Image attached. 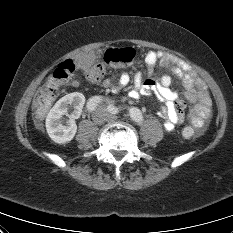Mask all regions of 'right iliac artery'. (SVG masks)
Wrapping results in <instances>:
<instances>
[{"label":"right iliac artery","mask_w":233,"mask_h":233,"mask_svg":"<svg viewBox=\"0 0 233 233\" xmlns=\"http://www.w3.org/2000/svg\"><path fill=\"white\" fill-rule=\"evenodd\" d=\"M102 97L100 96H94L92 98H90L87 102V110L92 112L95 110V108L98 106V104H100L102 102Z\"/></svg>","instance_id":"right-iliac-artery-1"}]
</instances>
